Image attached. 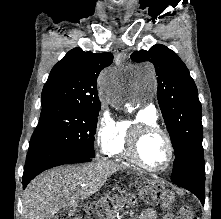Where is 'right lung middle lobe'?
<instances>
[{
    "mask_svg": "<svg viewBox=\"0 0 221 219\" xmlns=\"http://www.w3.org/2000/svg\"><path fill=\"white\" fill-rule=\"evenodd\" d=\"M99 110L100 106L42 105L40 120L29 148L42 144L70 154L94 158V134Z\"/></svg>",
    "mask_w": 221,
    "mask_h": 219,
    "instance_id": "obj_1",
    "label": "right lung middle lobe"
}]
</instances>
